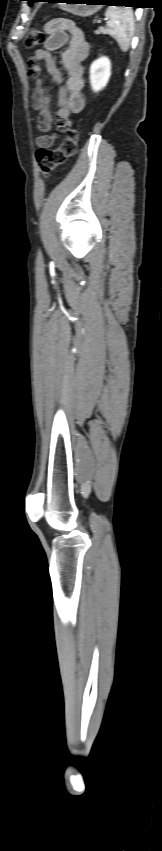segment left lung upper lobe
Segmentation results:
<instances>
[{"mask_svg": "<svg viewBox=\"0 0 162 851\" xmlns=\"http://www.w3.org/2000/svg\"><path fill=\"white\" fill-rule=\"evenodd\" d=\"M26 1H29V3L31 4L33 1H37V0H26Z\"/></svg>", "mask_w": 162, "mask_h": 851, "instance_id": "5c2ea615", "label": "left lung upper lobe"}]
</instances>
